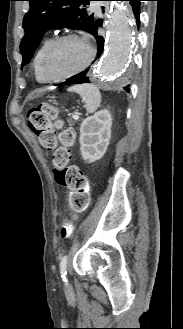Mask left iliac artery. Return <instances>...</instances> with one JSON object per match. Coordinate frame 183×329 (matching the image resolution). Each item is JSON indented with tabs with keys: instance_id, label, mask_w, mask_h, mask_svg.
I'll return each instance as SVG.
<instances>
[{
	"instance_id": "44dca946",
	"label": "left iliac artery",
	"mask_w": 183,
	"mask_h": 329,
	"mask_svg": "<svg viewBox=\"0 0 183 329\" xmlns=\"http://www.w3.org/2000/svg\"><path fill=\"white\" fill-rule=\"evenodd\" d=\"M67 258L68 256L67 255H64L61 259V262H60V273H61V277H62V280L67 283V278H66V275H67Z\"/></svg>"
}]
</instances>
